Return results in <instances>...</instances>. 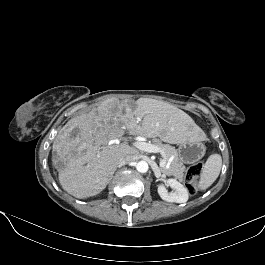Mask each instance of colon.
<instances>
[{"mask_svg": "<svg viewBox=\"0 0 265 265\" xmlns=\"http://www.w3.org/2000/svg\"><path fill=\"white\" fill-rule=\"evenodd\" d=\"M202 170V163L192 165L186 172V186L190 194H194L196 191L197 179Z\"/></svg>", "mask_w": 265, "mask_h": 265, "instance_id": "obj_1", "label": "colon"}]
</instances>
